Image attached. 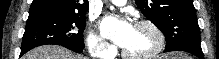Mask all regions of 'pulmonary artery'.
Returning a JSON list of instances; mask_svg holds the SVG:
<instances>
[{
  "mask_svg": "<svg viewBox=\"0 0 219 59\" xmlns=\"http://www.w3.org/2000/svg\"><path fill=\"white\" fill-rule=\"evenodd\" d=\"M110 2L117 6H122L126 3L125 0H111Z\"/></svg>",
  "mask_w": 219,
  "mask_h": 59,
  "instance_id": "obj_1",
  "label": "pulmonary artery"
}]
</instances>
